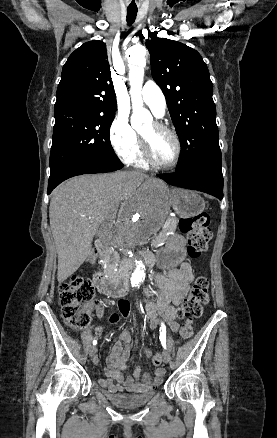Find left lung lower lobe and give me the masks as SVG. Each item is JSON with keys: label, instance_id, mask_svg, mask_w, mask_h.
<instances>
[{"label": "left lung lower lobe", "instance_id": "0a47b994", "mask_svg": "<svg viewBox=\"0 0 277 438\" xmlns=\"http://www.w3.org/2000/svg\"><path fill=\"white\" fill-rule=\"evenodd\" d=\"M158 176L171 185L202 191L220 200L223 198L222 162L206 164L191 172Z\"/></svg>", "mask_w": 277, "mask_h": 438}]
</instances>
